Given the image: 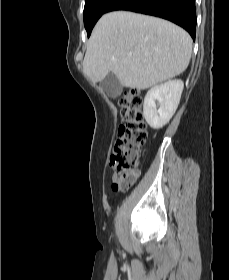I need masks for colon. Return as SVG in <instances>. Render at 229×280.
I'll return each instance as SVG.
<instances>
[{
  "label": "colon",
  "instance_id": "5ec220e1",
  "mask_svg": "<svg viewBox=\"0 0 229 280\" xmlns=\"http://www.w3.org/2000/svg\"><path fill=\"white\" fill-rule=\"evenodd\" d=\"M119 106L122 123L110 157V165L116 172L115 189L134 184L138 175L139 153L147 139L140 93L137 90L125 91L119 99Z\"/></svg>",
  "mask_w": 229,
  "mask_h": 280
}]
</instances>
